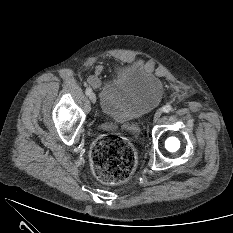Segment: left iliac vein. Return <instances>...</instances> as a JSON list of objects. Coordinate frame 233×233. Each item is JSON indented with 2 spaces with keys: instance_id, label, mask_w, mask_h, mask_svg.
<instances>
[{
  "instance_id": "obj_1",
  "label": "left iliac vein",
  "mask_w": 233,
  "mask_h": 233,
  "mask_svg": "<svg viewBox=\"0 0 233 233\" xmlns=\"http://www.w3.org/2000/svg\"><path fill=\"white\" fill-rule=\"evenodd\" d=\"M162 115V110L161 109H158L156 112H155V115H154V122H157L158 119L161 117Z\"/></svg>"
}]
</instances>
